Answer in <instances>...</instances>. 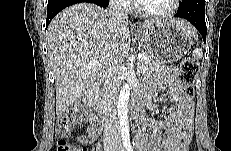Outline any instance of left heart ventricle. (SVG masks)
<instances>
[{
	"label": "left heart ventricle",
	"instance_id": "left-heart-ventricle-1",
	"mask_svg": "<svg viewBox=\"0 0 231 151\" xmlns=\"http://www.w3.org/2000/svg\"><path fill=\"white\" fill-rule=\"evenodd\" d=\"M142 8L149 13H163L170 8L171 0H142Z\"/></svg>",
	"mask_w": 231,
	"mask_h": 151
}]
</instances>
